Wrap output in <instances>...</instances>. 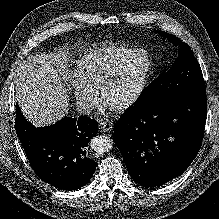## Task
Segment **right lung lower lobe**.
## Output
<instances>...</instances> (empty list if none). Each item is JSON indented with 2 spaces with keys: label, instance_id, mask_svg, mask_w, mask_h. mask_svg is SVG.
<instances>
[{
  "label": "right lung lower lobe",
  "instance_id": "obj_1",
  "mask_svg": "<svg viewBox=\"0 0 219 219\" xmlns=\"http://www.w3.org/2000/svg\"><path fill=\"white\" fill-rule=\"evenodd\" d=\"M15 127L28 160L41 180L69 191L89 182L97 163L88 157L86 147L98 133L96 120L65 116L52 126L36 128L16 104Z\"/></svg>",
  "mask_w": 219,
  "mask_h": 219
}]
</instances>
